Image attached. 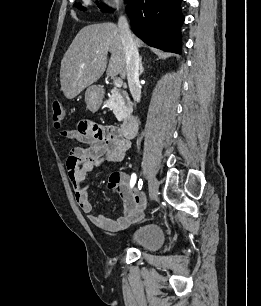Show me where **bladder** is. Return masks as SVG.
I'll return each mask as SVG.
<instances>
[{
	"mask_svg": "<svg viewBox=\"0 0 261 306\" xmlns=\"http://www.w3.org/2000/svg\"><path fill=\"white\" fill-rule=\"evenodd\" d=\"M164 242L162 227L156 223L145 224L134 231L129 243L145 252L157 251Z\"/></svg>",
	"mask_w": 261,
	"mask_h": 306,
	"instance_id": "1",
	"label": "bladder"
}]
</instances>
